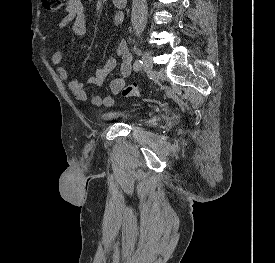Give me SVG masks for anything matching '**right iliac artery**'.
Segmentation results:
<instances>
[{
  "instance_id": "obj_1",
  "label": "right iliac artery",
  "mask_w": 275,
  "mask_h": 263,
  "mask_svg": "<svg viewBox=\"0 0 275 263\" xmlns=\"http://www.w3.org/2000/svg\"><path fill=\"white\" fill-rule=\"evenodd\" d=\"M142 64H143V62H142L141 60H137V61L134 63V69H135L136 71L140 70L141 67H142Z\"/></svg>"
}]
</instances>
